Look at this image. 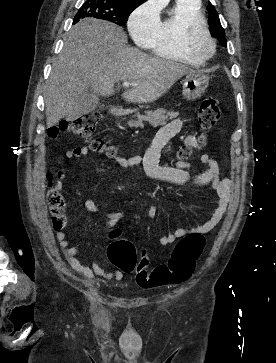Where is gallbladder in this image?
<instances>
[{
  "label": "gallbladder",
  "instance_id": "bac80fb5",
  "mask_svg": "<svg viewBox=\"0 0 276 363\" xmlns=\"http://www.w3.org/2000/svg\"><path fill=\"white\" fill-rule=\"evenodd\" d=\"M99 106V97L87 89L78 99L74 110L67 116L69 120L77 119L83 115L90 113Z\"/></svg>",
  "mask_w": 276,
  "mask_h": 363
}]
</instances>
